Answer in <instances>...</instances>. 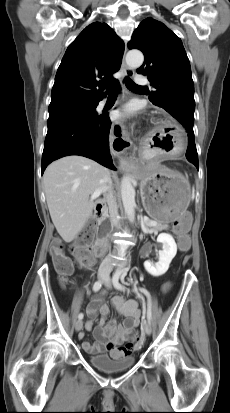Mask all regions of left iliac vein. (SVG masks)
<instances>
[{"mask_svg":"<svg viewBox=\"0 0 230 413\" xmlns=\"http://www.w3.org/2000/svg\"><path fill=\"white\" fill-rule=\"evenodd\" d=\"M104 284H105V286L108 287V288L111 287V280H110L109 277H107V278L105 279ZM143 329H144V332H145L147 335H150V334L152 333V327H151L150 322H148V321L144 322V324H143Z\"/></svg>","mask_w":230,"mask_h":413,"instance_id":"1","label":"left iliac vein"}]
</instances>
